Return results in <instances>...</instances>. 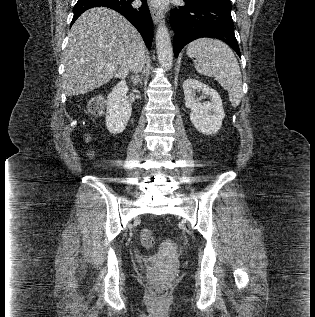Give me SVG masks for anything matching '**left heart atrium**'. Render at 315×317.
Segmentation results:
<instances>
[{
  "label": "left heart atrium",
  "instance_id": "obj_1",
  "mask_svg": "<svg viewBox=\"0 0 315 317\" xmlns=\"http://www.w3.org/2000/svg\"><path fill=\"white\" fill-rule=\"evenodd\" d=\"M151 1L157 5H162L163 3H165L166 0H151Z\"/></svg>",
  "mask_w": 315,
  "mask_h": 317
}]
</instances>
